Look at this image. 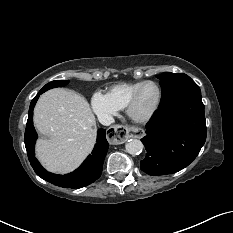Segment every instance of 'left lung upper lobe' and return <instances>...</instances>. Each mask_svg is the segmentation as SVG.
<instances>
[{"label": "left lung upper lobe", "mask_w": 233, "mask_h": 233, "mask_svg": "<svg viewBox=\"0 0 233 233\" xmlns=\"http://www.w3.org/2000/svg\"><path fill=\"white\" fill-rule=\"evenodd\" d=\"M157 78L162 88L160 105L189 93H201L199 86L186 74L164 72Z\"/></svg>", "instance_id": "obj_1"}]
</instances>
